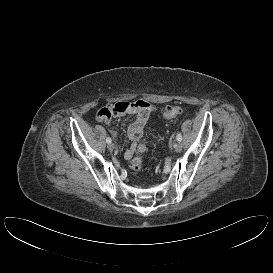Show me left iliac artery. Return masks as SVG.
I'll use <instances>...</instances> for the list:
<instances>
[{"label":"left iliac artery","mask_w":273,"mask_h":273,"mask_svg":"<svg viewBox=\"0 0 273 273\" xmlns=\"http://www.w3.org/2000/svg\"><path fill=\"white\" fill-rule=\"evenodd\" d=\"M176 139H177L178 141H181V140H182V135H181V133H178V134H177Z\"/></svg>","instance_id":"obj_1"}]
</instances>
